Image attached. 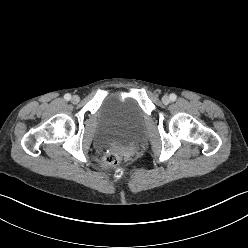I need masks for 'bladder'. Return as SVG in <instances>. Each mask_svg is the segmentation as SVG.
Returning a JSON list of instances; mask_svg holds the SVG:
<instances>
[{
	"instance_id": "obj_1",
	"label": "bladder",
	"mask_w": 248,
	"mask_h": 248,
	"mask_svg": "<svg viewBox=\"0 0 248 248\" xmlns=\"http://www.w3.org/2000/svg\"><path fill=\"white\" fill-rule=\"evenodd\" d=\"M145 116L132 94H108L96 113L94 144L99 147L130 146L138 138Z\"/></svg>"
}]
</instances>
